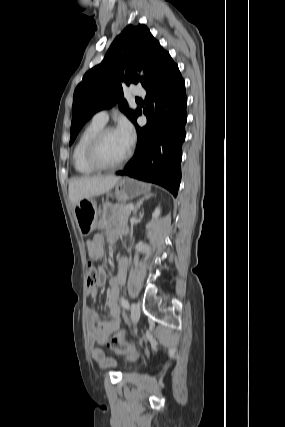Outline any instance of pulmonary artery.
Returning a JSON list of instances; mask_svg holds the SVG:
<instances>
[{
    "label": "pulmonary artery",
    "instance_id": "1",
    "mask_svg": "<svg viewBox=\"0 0 285 427\" xmlns=\"http://www.w3.org/2000/svg\"><path fill=\"white\" fill-rule=\"evenodd\" d=\"M146 95V90L143 86L140 85H134L131 88V96L133 97H144ZM93 119L105 124L108 121V111L107 110H101L98 111L94 116Z\"/></svg>",
    "mask_w": 285,
    "mask_h": 427
}]
</instances>
